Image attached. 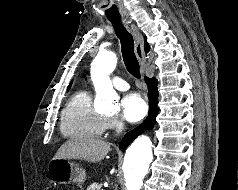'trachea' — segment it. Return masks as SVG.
<instances>
[{
	"label": "trachea",
	"instance_id": "trachea-1",
	"mask_svg": "<svg viewBox=\"0 0 238 190\" xmlns=\"http://www.w3.org/2000/svg\"><path fill=\"white\" fill-rule=\"evenodd\" d=\"M109 20L115 29L117 37L120 39L123 60L128 72L136 78H139L140 67L134 53L133 36L123 26L120 18H110Z\"/></svg>",
	"mask_w": 238,
	"mask_h": 190
}]
</instances>
